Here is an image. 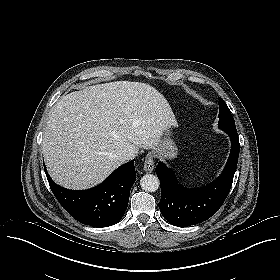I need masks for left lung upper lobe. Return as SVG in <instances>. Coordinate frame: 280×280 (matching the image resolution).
I'll use <instances>...</instances> for the list:
<instances>
[{
  "label": "left lung upper lobe",
  "mask_w": 280,
  "mask_h": 280,
  "mask_svg": "<svg viewBox=\"0 0 280 280\" xmlns=\"http://www.w3.org/2000/svg\"><path fill=\"white\" fill-rule=\"evenodd\" d=\"M219 128L226 133L236 132V126L234 122V118L227 106V104L219 98Z\"/></svg>",
  "instance_id": "obj_1"
}]
</instances>
